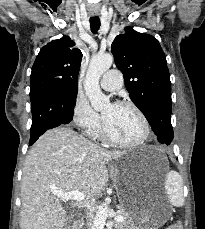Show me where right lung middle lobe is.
Here are the masks:
<instances>
[{"label":"right lung middle lobe","instance_id":"1","mask_svg":"<svg viewBox=\"0 0 205 229\" xmlns=\"http://www.w3.org/2000/svg\"><path fill=\"white\" fill-rule=\"evenodd\" d=\"M67 93L70 94L72 97L76 98L77 96V87H69Z\"/></svg>","mask_w":205,"mask_h":229}]
</instances>
